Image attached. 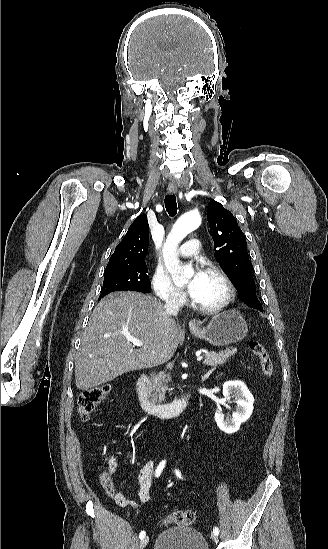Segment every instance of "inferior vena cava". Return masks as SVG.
<instances>
[{
	"label": "inferior vena cava",
	"mask_w": 328,
	"mask_h": 549,
	"mask_svg": "<svg viewBox=\"0 0 328 549\" xmlns=\"http://www.w3.org/2000/svg\"><path fill=\"white\" fill-rule=\"evenodd\" d=\"M180 309L181 305L178 303V299H168V301H165L164 311L169 317H176Z\"/></svg>",
	"instance_id": "602c4592"
}]
</instances>
